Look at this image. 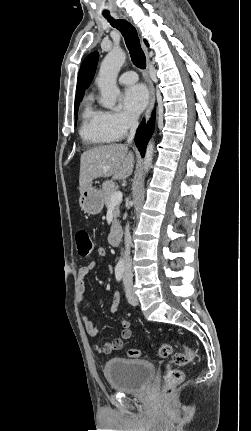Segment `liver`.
<instances>
[{"mask_svg": "<svg viewBox=\"0 0 251 431\" xmlns=\"http://www.w3.org/2000/svg\"><path fill=\"white\" fill-rule=\"evenodd\" d=\"M134 154L125 144H109L85 151L80 158L79 190L84 191L94 179L113 176L128 178L133 171Z\"/></svg>", "mask_w": 251, "mask_h": 431, "instance_id": "liver-1", "label": "liver"}]
</instances>
